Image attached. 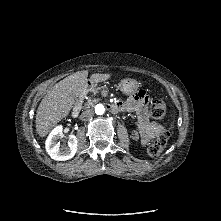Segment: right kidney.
<instances>
[{
  "label": "right kidney",
  "instance_id": "ca27d5eb",
  "mask_svg": "<svg viewBox=\"0 0 221 221\" xmlns=\"http://www.w3.org/2000/svg\"><path fill=\"white\" fill-rule=\"evenodd\" d=\"M63 137V127L57 126L46 140V151L50 157L57 161H65L74 157L77 151V138L69 136L68 146L60 145L59 140Z\"/></svg>",
  "mask_w": 221,
  "mask_h": 221
}]
</instances>
